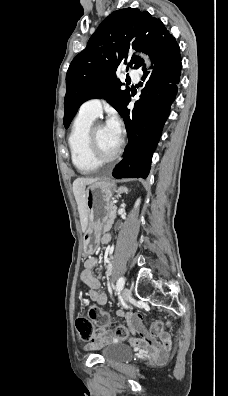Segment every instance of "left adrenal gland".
Segmentation results:
<instances>
[{
    "label": "left adrenal gland",
    "mask_w": 228,
    "mask_h": 396,
    "mask_svg": "<svg viewBox=\"0 0 228 396\" xmlns=\"http://www.w3.org/2000/svg\"><path fill=\"white\" fill-rule=\"evenodd\" d=\"M124 192H128V189L126 188V187H120L118 190H117V199L119 198V197H121V194L122 193H124Z\"/></svg>",
    "instance_id": "obj_1"
}]
</instances>
